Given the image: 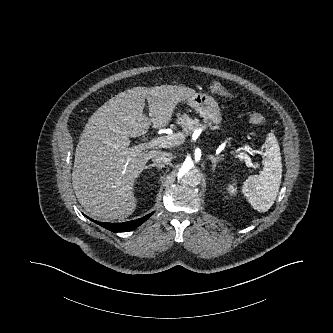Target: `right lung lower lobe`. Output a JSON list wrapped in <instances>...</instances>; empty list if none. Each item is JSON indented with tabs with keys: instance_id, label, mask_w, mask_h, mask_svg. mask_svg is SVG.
<instances>
[{
	"instance_id": "obj_1",
	"label": "right lung lower lobe",
	"mask_w": 333,
	"mask_h": 333,
	"mask_svg": "<svg viewBox=\"0 0 333 333\" xmlns=\"http://www.w3.org/2000/svg\"><path fill=\"white\" fill-rule=\"evenodd\" d=\"M153 213L154 212H152L142 218H139L137 220H132V221H128L125 223H106V222H97L92 219L91 220L112 232H126V231L134 230L136 227H138L143 222H145Z\"/></svg>"
}]
</instances>
